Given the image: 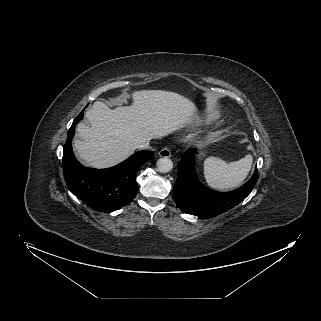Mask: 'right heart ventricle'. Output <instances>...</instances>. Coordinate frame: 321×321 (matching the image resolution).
<instances>
[{"instance_id":"right-heart-ventricle-1","label":"right heart ventricle","mask_w":321,"mask_h":321,"mask_svg":"<svg viewBox=\"0 0 321 321\" xmlns=\"http://www.w3.org/2000/svg\"><path fill=\"white\" fill-rule=\"evenodd\" d=\"M218 118V115H216V114H214V113H211V112H209V113H207L206 115H205V117H204V122H212V121H214V120H216Z\"/></svg>"}]
</instances>
